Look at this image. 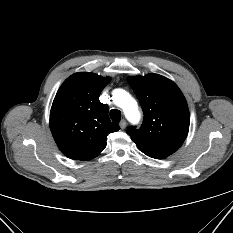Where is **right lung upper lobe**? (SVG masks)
<instances>
[{"label":"right lung upper lobe","instance_id":"right-lung-upper-lobe-1","mask_svg":"<svg viewBox=\"0 0 233 233\" xmlns=\"http://www.w3.org/2000/svg\"><path fill=\"white\" fill-rule=\"evenodd\" d=\"M110 78L78 72L59 88L50 111V129L60 151L71 159L86 161L106 147L107 135L119 125L108 117V106L99 101Z\"/></svg>","mask_w":233,"mask_h":233}]
</instances>
